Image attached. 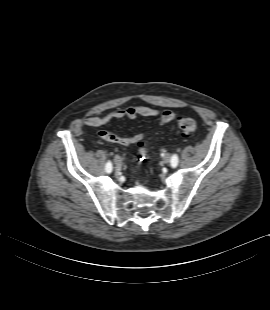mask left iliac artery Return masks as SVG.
<instances>
[{"mask_svg":"<svg viewBox=\"0 0 270 310\" xmlns=\"http://www.w3.org/2000/svg\"><path fill=\"white\" fill-rule=\"evenodd\" d=\"M179 159L177 155H173L171 159V166L175 168L178 165Z\"/></svg>","mask_w":270,"mask_h":310,"instance_id":"left-iliac-artery-1","label":"left iliac artery"}]
</instances>
